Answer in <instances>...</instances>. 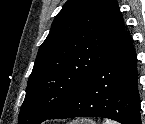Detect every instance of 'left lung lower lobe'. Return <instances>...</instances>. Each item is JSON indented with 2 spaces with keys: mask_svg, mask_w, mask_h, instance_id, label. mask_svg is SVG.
<instances>
[{
  "mask_svg": "<svg viewBox=\"0 0 145 124\" xmlns=\"http://www.w3.org/2000/svg\"><path fill=\"white\" fill-rule=\"evenodd\" d=\"M137 83L136 53L126 33L117 49L47 119L103 117L121 124H141Z\"/></svg>",
  "mask_w": 145,
  "mask_h": 124,
  "instance_id": "1",
  "label": "left lung lower lobe"
}]
</instances>
